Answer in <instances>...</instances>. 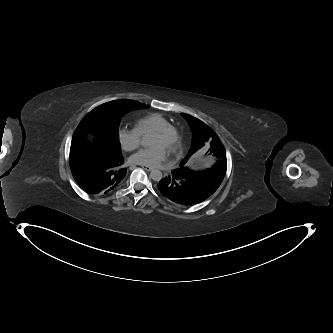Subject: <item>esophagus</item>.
I'll return each instance as SVG.
<instances>
[{
	"label": "esophagus",
	"instance_id": "1",
	"mask_svg": "<svg viewBox=\"0 0 333 333\" xmlns=\"http://www.w3.org/2000/svg\"><path fill=\"white\" fill-rule=\"evenodd\" d=\"M142 168L144 169V170H146V171H152L153 170V168L152 167H150V166H142Z\"/></svg>",
	"mask_w": 333,
	"mask_h": 333
}]
</instances>
